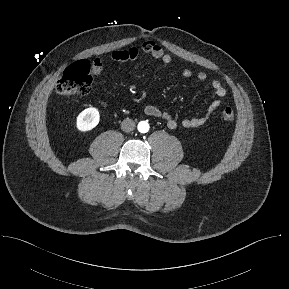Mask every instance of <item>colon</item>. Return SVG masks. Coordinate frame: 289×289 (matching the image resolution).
Wrapping results in <instances>:
<instances>
[{
    "label": "colon",
    "instance_id": "1",
    "mask_svg": "<svg viewBox=\"0 0 289 289\" xmlns=\"http://www.w3.org/2000/svg\"><path fill=\"white\" fill-rule=\"evenodd\" d=\"M91 65L85 60L75 62L69 66L57 82L56 90L62 95H85L92 85ZM225 121H233L235 118L234 110L225 107L221 112Z\"/></svg>",
    "mask_w": 289,
    "mask_h": 289
}]
</instances>
